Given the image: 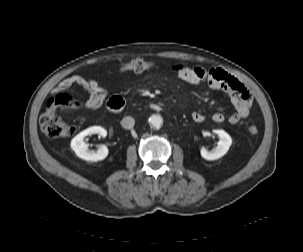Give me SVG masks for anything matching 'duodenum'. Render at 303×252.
Listing matches in <instances>:
<instances>
[{"mask_svg": "<svg viewBox=\"0 0 303 252\" xmlns=\"http://www.w3.org/2000/svg\"><path fill=\"white\" fill-rule=\"evenodd\" d=\"M126 102L122 98H118L115 100L114 104L111 105L110 110L114 113L122 112L126 107ZM149 108L154 111H160L162 109V105L159 103H150Z\"/></svg>", "mask_w": 303, "mask_h": 252, "instance_id": "410a0bca", "label": "duodenum"}]
</instances>
